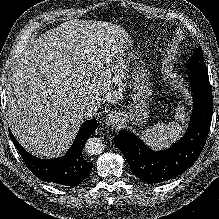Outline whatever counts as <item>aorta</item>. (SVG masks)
Returning a JSON list of instances; mask_svg holds the SVG:
<instances>
[{"label": "aorta", "instance_id": "obj_1", "mask_svg": "<svg viewBox=\"0 0 219 219\" xmlns=\"http://www.w3.org/2000/svg\"><path fill=\"white\" fill-rule=\"evenodd\" d=\"M104 150V144L100 138H89L85 143V151L89 155H97Z\"/></svg>", "mask_w": 219, "mask_h": 219}]
</instances>
